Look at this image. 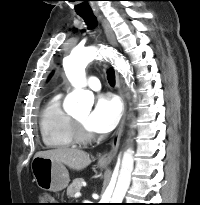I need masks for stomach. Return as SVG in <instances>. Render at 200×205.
Masks as SVG:
<instances>
[{
    "label": "stomach",
    "mask_w": 200,
    "mask_h": 205,
    "mask_svg": "<svg viewBox=\"0 0 200 205\" xmlns=\"http://www.w3.org/2000/svg\"><path fill=\"white\" fill-rule=\"evenodd\" d=\"M31 169L37 185L43 190L58 192L65 189L70 181L66 167L50 158L34 157Z\"/></svg>",
    "instance_id": "stomach-1"
}]
</instances>
